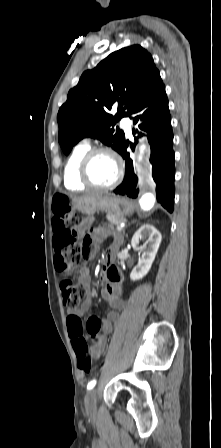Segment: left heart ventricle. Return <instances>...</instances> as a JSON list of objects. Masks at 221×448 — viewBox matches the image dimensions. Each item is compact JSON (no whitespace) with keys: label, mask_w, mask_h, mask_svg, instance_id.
<instances>
[{"label":"left heart ventricle","mask_w":221,"mask_h":448,"mask_svg":"<svg viewBox=\"0 0 221 448\" xmlns=\"http://www.w3.org/2000/svg\"><path fill=\"white\" fill-rule=\"evenodd\" d=\"M117 174L115 160L106 154L96 156L90 166V175L93 181L100 185L111 183Z\"/></svg>","instance_id":"1"}]
</instances>
